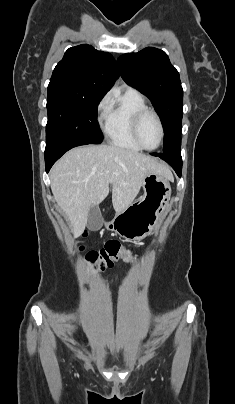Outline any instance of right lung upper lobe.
Here are the masks:
<instances>
[{"mask_svg": "<svg viewBox=\"0 0 235 404\" xmlns=\"http://www.w3.org/2000/svg\"><path fill=\"white\" fill-rule=\"evenodd\" d=\"M119 76L113 56L83 44L69 48L55 67L48 89L103 97Z\"/></svg>", "mask_w": 235, "mask_h": 404, "instance_id": "1", "label": "right lung upper lobe"}]
</instances>
